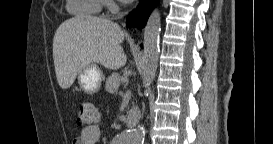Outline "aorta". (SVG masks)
<instances>
[{"instance_id":"aorta-1","label":"aorta","mask_w":273,"mask_h":144,"mask_svg":"<svg viewBox=\"0 0 273 144\" xmlns=\"http://www.w3.org/2000/svg\"><path fill=\"white\" fill-rule=\"evenodd\" d=\"M160 13L154 10L144 29V79L150 84L156 75L159 59V37L161 31ZM145 137L143 125H138L135 129L121 133L117 137L118 144H142Z\"/></svg>"}]
</instances>
